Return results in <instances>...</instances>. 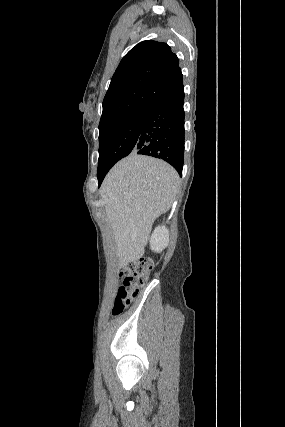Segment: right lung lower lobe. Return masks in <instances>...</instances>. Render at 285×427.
I'll return each mask as SVG.
<instances>
[{
    "mask_svg": "<svg viewBox=\"0 0 285 427\" xmlns=\"http://www.w3.org/2000/svg\"><path fill=\"white\" fill-rule=\"evenodd\" d=\"M184 87L165 95L146 109L137 154L163 159L182 175L184 163ZM106 171L97 174L101 185Z\"/></svg>",
    "mask_w": 285,
    "mask_h": 427,
    "instance_id": "obj_1",
    "label": "right lung lower lobe"
}]
</instances>
